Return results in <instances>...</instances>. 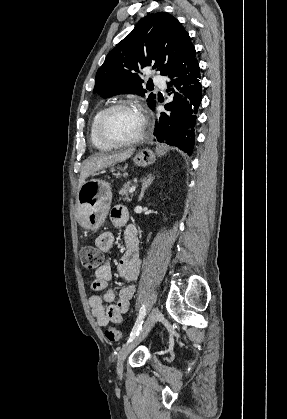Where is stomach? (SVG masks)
Instances as JSON below:
<instances>
[{
    "mask_svg": "<svg viewBox=\"0 0 287 419\" xmlns=\"http://www.w3.org/2000/svg\"><path fill=\"white\" fill-rule=\"evenodd\" d=\"M165 151V146H157L155 150L143 148L133 161L137 166L147 167ZM111 200L112 191L108 182L93 178L85 181L78 191L76 204V215L81 225L91 231L98 230L109 212Z\"/></svg>",
    "mask_w": 287,
    "mask_h": 419,
    "instance_id": "1",
    "label": "stomach"
}]
</instances>
